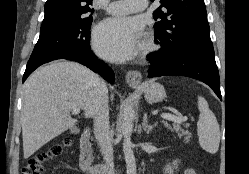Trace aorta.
Wrapping results in <instances>:
<instances>
[{
  "label": "aorta",
  "mask_w": 249,
  "mask_h": 174,
  "mask_svg": "<svg viewBox=\"0 0 249 174\" xmlns=\"http://www.w3.org/2000/svg\"><path fill=\"white\" fill-rule=\"evenodd\" d=\"M134 118L135 111L133 105L131 103H126L123 109V122L121 126V132L124 136L123 151L127 165V174H136V163L131 143Z\"/></svg>",
  "instance_id": "obj_1"
}]
</instances>
